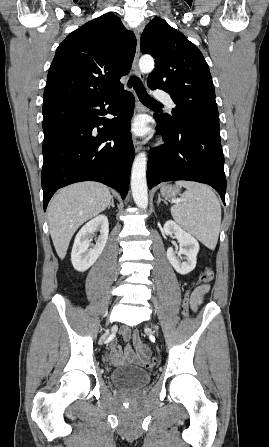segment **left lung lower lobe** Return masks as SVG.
<instances>
[{"instance_id": "1", "label": "left lung lower lobe", "mask_w": 269, "mask_h": 447, "mask_svg": "<svg viewBox=\"0 0 269 447\" xmlns=\"http://www.w3.org/2000/svg\"><path fill=\"white\" fill-rule=\"evenodd\" d=\"M165 144L149 152V189L164 181L189 180L212 186L225 205L226 177L218 130L182 124L154 114Z\"/></svg>"}]
</instances>
